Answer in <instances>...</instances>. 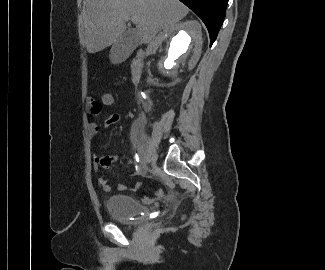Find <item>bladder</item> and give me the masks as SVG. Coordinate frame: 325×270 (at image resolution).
Wrapping results in <instances>:
<instances>
[{"mask_svg":"<svg viewBox=\"0 0 325 270\" xmlns=\"http://www.w3.org/2000/svg\"><path fill=\"white\" fill-rule=\"evenodd\" d=\"M106 210L111 218L127 225H133L148 216L147 207L128 195L108 197Z\"/></svg>","mask_w":325,"mask_h":270,"instance_id":"obj_1","label":"bladder"}]
</instances>
